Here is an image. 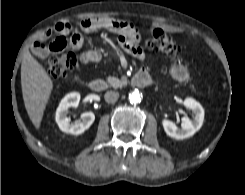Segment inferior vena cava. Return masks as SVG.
Wrapping results in <instances>:
<instances>
[{
    "instance_id": "602c4592",
    "label": "inferior vena cava",
    "mask_w": 245,
    "mask_h": 195,
    "mask_svg": "<svg viewBox=\"0 0 245 195\" xmlns=\"http://www.w3.org/2000/svg\"><path fill=\"white\" fill-rule=\"evenodd\" d=\"M104 97L107 103H115L119 98V93L117 91H107Z\"/></svg>"
}]
</instances>
